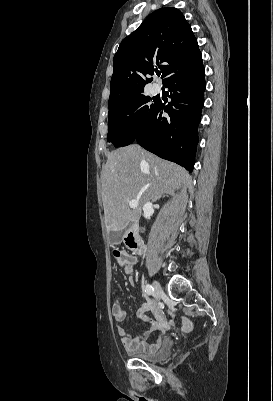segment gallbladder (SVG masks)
<instances>
[{
  "label": "gallbladder",
  "instance_id": "obj_1",
  "mask_svg": "<svg viewBox=\"0 0 273 401\" xmlns=\"http://www.w3.org/2000/svg\"><path fill=\"white\" fill-rule=\"evenodd\" d=\"M109 232V241L110 243H120L121 239H122V233L121 231H119V229L117 227L109 228L108 229Z\"/></svg>",
  "mask_w": 273,
  "mask_h": 401
}]
</instances>
